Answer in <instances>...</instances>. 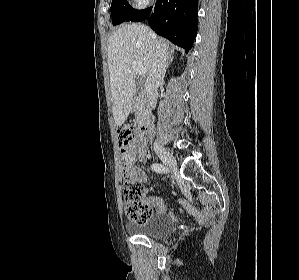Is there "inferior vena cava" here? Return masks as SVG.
Instances as JSON below:
<instances>
[{
	"mask_svg": "<svg viewBox=\"0 0 299 280\" xmlns=\"http://www.w3.org/2000/svg\"><path fill=\"white\" fill-rule=\"evenodd\" d=\"M167 55L164 51L160 50L157 46L155 55L152 61L151 69L147 75L145 83V92L151 108H155L157 103V89L163 83L164 76L167 68Z\"/></svg>",
	"mask_w": 299,
	"mask_h": 280,
	"instance_id": "602c4592",
	"label": "inferior vena cava"
}]
</instances>
